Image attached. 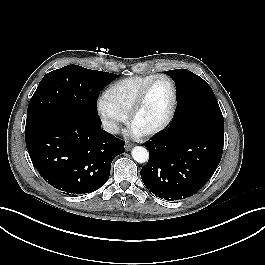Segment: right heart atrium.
I'll list each match as a JSON object with an SVG mask.
<instances>
[{"instance_id":"d8ad5b80","label":"right heart atrium","mask_w":265,"mask_h":265,"mask_svg":"<svg viewBox=\"0 0 265 265\" xmlns=\"http://www.w3.org/2000/svg\"><path fill=\"white\" fill-rule=\"evenodd\" d=\"M97 112L105 130L110 134H118L127 122V117L110 107L104 99L98 101Z\"/></svg>"}]
</instances>
